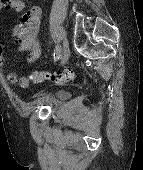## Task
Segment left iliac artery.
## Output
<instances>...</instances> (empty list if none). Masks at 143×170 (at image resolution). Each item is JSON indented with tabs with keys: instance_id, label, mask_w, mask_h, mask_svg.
Instances as JSON below:
<instances>
[{
	"instance_id": "1",
	"label": "left iliac artery",
	"mask_w": 143,
	"mask_h": 170,
	"mask_svg": "<svg viewBox=\"0 0 143 170\" xmlns=\"http://www.w3.org/2000/svg\"><path fill=\"white\" fill-rule=\"evenodd\" d=\"M60 52H61V49H60V46H56L55 50H54V61L58 60L60 58Z\"/></svg>"
}]
</instances>
